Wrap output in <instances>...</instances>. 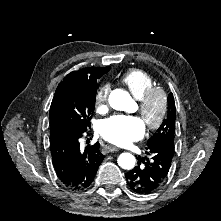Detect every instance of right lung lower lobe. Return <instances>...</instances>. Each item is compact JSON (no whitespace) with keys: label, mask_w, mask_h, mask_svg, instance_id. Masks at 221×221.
<instances>
[{"label":"right lung lower lobe","mask_w":221,"mask_h":221,"mask_svg":"<svg viewBox=\"0 0 221 221\" xmlns=\"http://www.w3.org/2000/svg\"><path fill=\"white\" fill-rule=\"evenodd\" d=\"M83 132H65L50 140L52 162L60 182L70 190L88 188L104 159L99 143L80 149Z\"/></svg>","instance_id":"obj_1"}]
</instances>
